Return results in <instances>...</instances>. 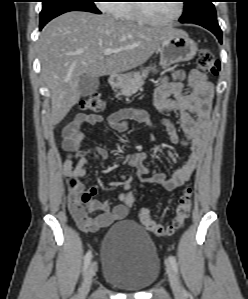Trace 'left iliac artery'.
<instances>
[{"instance_id": "left-iliac-artery-1", "label": "left iliac artery", "mask_w": 248, "mask_h": 299, "mask_svg": "<svg viewBox=\"0 0 248 299\" xmlns=\"http://www.w3.org/2000/svg\"><path fill=\"white\" fill-rule=\"evenodd\" d=\"M169 261H170V264H171L172 268L174 269V271L178 274V265H177L176 259L173 256H169ZM183 293L187 294L185 289H183Z\"/></svg>"}]
</instances>
